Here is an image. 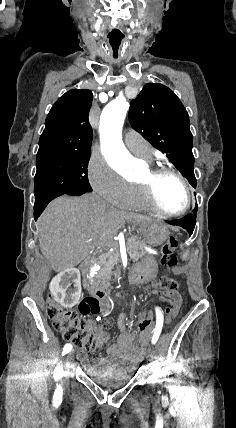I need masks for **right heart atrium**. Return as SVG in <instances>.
I'll use <instances>...</instances> for the list:
<instances>
[{
    "mask_svg": "<svg viewBox=\"0 0 236 428\" xmlns=\"http://www.w3.org/2000/svg\"><path fill=\"white\" fill-rule=\"evenodd\" d=\"M88 179L91 188L108 206H124L131 186L111 168L106 160L95 157L90 160Z\"/></svg>",
    "mask_w": 236,
    "mask_h": 428,
    "instance_id": "right-heart-atrium-1",
    "label": "right heart atrium"
}]
</instances>
